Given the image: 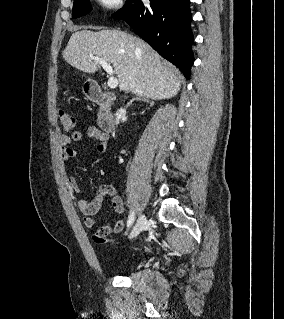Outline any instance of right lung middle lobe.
I'll use <instances>...</instances> for the list:
<instances>
[{"mask_svg": "<svg viewBox=\"0 0 284 319\" xmlns=\"http://www.w3.org/2000/svg\"><path fill=\"white\" fill-rule=\"evenodd\" d=\"M91 10L92 7L89 3V0H74L72 16L74 18L80 17L89 13Z\"/></svg>", "mask_w": 284, "mask_h": 319, "instance_id": "right-lung-middle-lobe-1", "label": "right lung middle lobe"}]
</instances>
